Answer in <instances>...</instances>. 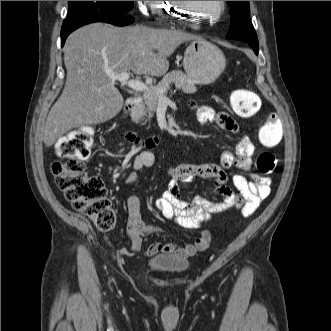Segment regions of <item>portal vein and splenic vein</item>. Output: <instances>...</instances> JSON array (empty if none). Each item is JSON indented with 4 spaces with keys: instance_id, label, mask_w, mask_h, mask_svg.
<instances>
[{
    "instance_id": "portal-vein-and-splenic-vein-1",
    "label": "portal vein and splenic vein",
    "mask_w": 331,
    "mask_h": 331,
    "mask_svg": "<svg viewBox=\"0 0 331 331\" xmlns=\"http://www.w3.org/2000/svg\"><path fill=\"white\" fill-rule=\"evenodd\" d=\"M109 76L112 81L114 82L119 81L120 83L125 84L129 88L138 92L147 91L149 89L148 85L143 83L142 81L138 79H130V73L128 72H123L120 74H110ZM163 93L164 90L162 89L157 90V94L160 99L165 98V95Z\"/></svg>"
}]
</instances>
